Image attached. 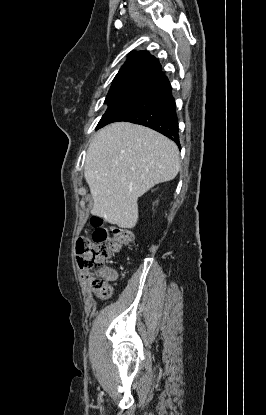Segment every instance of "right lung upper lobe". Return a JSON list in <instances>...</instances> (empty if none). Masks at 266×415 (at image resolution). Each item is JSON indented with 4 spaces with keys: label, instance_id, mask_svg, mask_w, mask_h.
Instances as JSON below:
<instances>
[{
    "label": "right lung upper lobe",
    "instance_id": "right-lung-upper-lobe-1",
    "mask_svg": "<svg viewBox=\"0 0 266 415\" xmlns=\"http://www.w3.org/2000/svg\"><path fill=\"white\" fill-rule=\"evenodd\" d=\"M169 83L158 60L147 51L131 53L113 79L109 92L132 91L150 94Z\"/></svg>",
    "mask_w": 266,
    "mask_h": 415
}]
</instances>
